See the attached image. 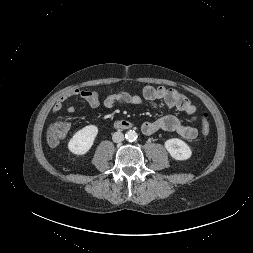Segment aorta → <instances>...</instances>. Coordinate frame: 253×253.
<instances>
[{"label": "aorta", "mask_w": 253, "mask_h": 253, "mask_svg": "<svg viewBox=\"0 0 253 253\" xmlns=\"http://www.w3.org/2000/svg\"><path fill=\"white\" fill-rule=\"evenodd\" d=\"M137 133L134 131V130H129L126 132L125 134V138L130 141V142H133L137 139Z\"/></svg>", "instance_id": "aorta-1"}]
</instances>
